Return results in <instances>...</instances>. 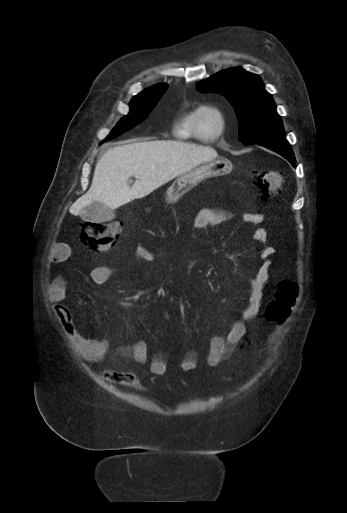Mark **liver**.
I'll list each match as a JSON object with an SVG mask.
<instances>
[{
	"instance_id": "obj_1",
	"label": "liver",
	"mask_w": 347,
	"mask_h": 513,
	"mask_svg": "<svg viewBox=\"0 0 347 513\" xmlns=\"http://www.w3.org/2000/svg\"><path fill=\"white\" fill-rule=\"evenodd\" d=\"M217 156L211 147L173 140L115 146L97 162L90 189L71 205L69 212L80 215L93 202L114 210ZM131 176L136 178L132 187L128 185Z\"/></svg>"
}]
</instances>
